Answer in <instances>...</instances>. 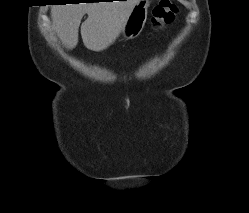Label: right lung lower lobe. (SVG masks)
Returning <instances> with one entry per match:
<instances>
[{
	"instance_id": "98d812e1",
	"label": "right lung lower lobe",
	"mask_w": 249,
	"mask_h": 213,
	"mask_svg": "<svg viewBox=\"0 0 249 213\" xmlns=\"http://www.w3.org/2000/svg\"><path fill=\"white\" fill-rule=\"evenodd\" d=\"M90 1H97V0H90ZM60 3V2H59ZM93 3V2H92Z\"/></svg>"
}]
</instances>
